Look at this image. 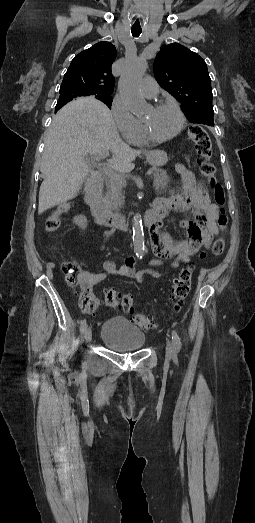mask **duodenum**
I'll return each instance as SVG.
<instances>
[{
    "label": "duodenum",
    "mask_w": 255,
    "mask_h": 523,
    "mask_svg": "<svg viewBox=\"0 0 255 523\" xmlns=\"http://www.w3.org/2000/svg\"><path fill=\"white\" fill-rule=\"evenodd\" d=\"M85 201L89 205L95 223L106 227L127 229V219L120 214L114 213L106 204L102 196V167L97 165L92 169V174L87 182ZM171 210L168 198H158L143 216L146 227L153 229L162 218Z\"/></svg>",
    "instance_id": "410a0bca"
}]
</instances>
